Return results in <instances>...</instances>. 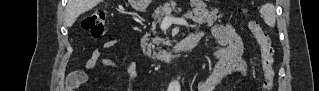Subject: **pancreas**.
Wrapping results in <instances>:
<instances>
[{"label": "pancreas", "instance_id": "cf45deb5", "mask_svg": "<svg viewBox=\"0 0 319 91\" xmlns=\"http://www.w3.org/2000/svg\"><path fill=\"white\" fill-rule=\"evenodd\" d=\"M194 4L193 11L189 12L186 17L191 18L199 25L207 23L208 26H211L217 19L222 17V15L217 16V10L208 11L203 5H197V3ZM175 10V5L168 3L163 7L157 8L153 14L154 23H160L164 16L171 14L172 11ZM162 45H170V41L156 36L152 39V42L145 44L146 54L152 59L161 60L168 54L162 49Z\"/></svg>", "mask_w": 319, "mask_h": 91}]
</instances>
